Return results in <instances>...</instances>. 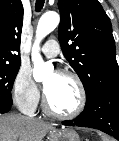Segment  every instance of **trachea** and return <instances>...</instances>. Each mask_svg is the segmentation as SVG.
I'll return each mask as SVG.
<instances>
[{
  "instance_id": "3493384b",
  "label": "trachea",
  "mask_w": 119,
  "mask_h": 141,
  "mask_svg": "<svg viewBox=\"0 0 119 141\" xmlns=\"http://www.w3.org/2000/svg\"><path fill=\"white\" fill-rule=\"evenodd\" d=\"M44 5V0H37L36 1V11L39 12Z\"/></svg>"
}]
</instances>
